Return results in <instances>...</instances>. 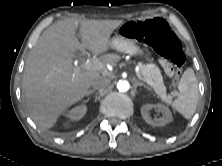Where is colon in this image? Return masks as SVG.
<instances>
[{"instance_id": "1", "label": "colon", "mask_w": 222, "mask_h": 166, "mask_svg": "<svg viewBox=\"0 0 222 166\" xmlns=\"http://www.w3.org/2000/svg\"><path fill=\"white\" fill-rule=\"evenodd\" d=\"M122 36L148 44L163 56L161 62L166 75L178 78L186 57L180 40L169 24L161 18H148L126 23L120 29Z\"/></svg>"}]
</instances>
